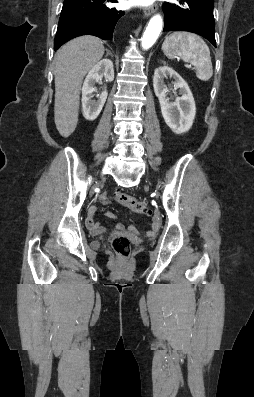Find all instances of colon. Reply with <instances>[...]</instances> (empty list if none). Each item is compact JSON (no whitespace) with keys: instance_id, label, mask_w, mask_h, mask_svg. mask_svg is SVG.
Wrapping results in <instances>:
<instances>
[{"instance_id":"colon-1","label":"colon","mask_w":254,"mask_h":397,"mask_svg":"<svg viewBox=\"0 0 254 397\" xmlns=\"http://www.w3.org/2000/svg\"><path fill=\"white\" fill-rule=\"evenodd\" d=\"M115 198L121 205H123L133 213L141 215H147L150 213V209L147 203L143 200L137 199L134 196L126 193H117L115 195ZM111 245L115 253L120 257L125 258L130 254L131 242L124 235H114L111 239Z\"/></svg>"}]
</instances>
